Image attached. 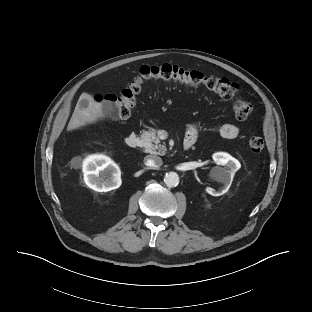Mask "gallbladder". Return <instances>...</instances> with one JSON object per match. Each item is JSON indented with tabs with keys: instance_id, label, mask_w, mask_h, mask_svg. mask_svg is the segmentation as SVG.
<instances>
[{
	"instance_id": "1",
	"label": "gallbladder",
	"mask_w": 312,
	"mask_h": 312,
	"mask_svg": "<svg viewBox=\"0 0 312 312\" xmlns=\"http://www.w3.org/2000/svg\"><path fill=\"white\" fill-rule=\"evenodd\" d=\"M82 103H85L84 101ZM100 110L104 116L110 117L115 112V106L111 101L103 100L100 103Z\"/></svg>"
}]
</instances>
